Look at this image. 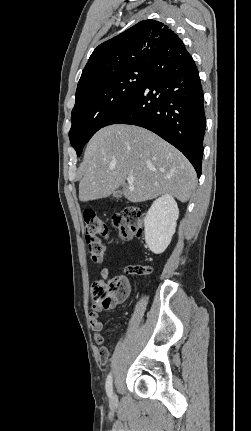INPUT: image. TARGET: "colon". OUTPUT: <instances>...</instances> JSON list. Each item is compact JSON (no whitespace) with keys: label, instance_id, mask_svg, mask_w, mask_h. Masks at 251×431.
Wrapping results in <instances>:
<instances>
[{"label":"colon","instance_id":"colon-1","mask_svg":"<svg viewBox=\"0 0 251 431\" xmlns=\"http://www.w3.org/2000/svg\"><path fill=\"white\" fill-rule=\"evenodd\" d=\"M144 213L138 207H127L120 214L113 217V224L118 229L119 237L129 240L142 235ZM84 237L88 252L94 262L101 263L107 254L105 240L109 232L106 223L93 211L83 215ZM143 266H129L127 273L143 274ZM129 293V283L123 278H114L107 282L95 281L91 286V298L94 305L108 309L121 304Z\"/></svg>","mask_w":251,"mask_h":431}]
</instances>
